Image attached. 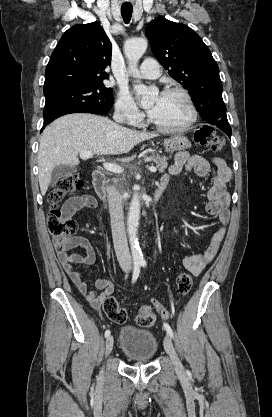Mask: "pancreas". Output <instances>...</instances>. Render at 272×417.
Returning a JSON list of instances; mask_svg holds the SVG:
<instances>
[{
  "label": "pancreas",
  "instance_id": "obj_1",
  "mask_svg": "<svg viewBox=\"0 0 272 417\" xmlns=\"http://www.w3.org/2000/svg\"><path fill=\"white\" fill-rule=\"evenodd\" d=\"M149 161L154 163L160 172H164L167 168V158L160 157L159 155H151L148 157Z\"/></svg>",
  "mask_w": 272,
  "mask_h": 417
}]
</instances>
